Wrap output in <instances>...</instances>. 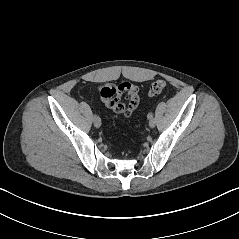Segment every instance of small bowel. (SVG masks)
Masks as SVG:
<instances>
[{
	"label": "small bowel",
	"mask_w": 239,
	"mask_h": 239,
	"mask_svg": "<svg viewBox=\"0 0 239 239\" xmlns=\"http://www.w3.org/2000/svg\"><path fill=\"white\" fill-rule=\"evenodd\" d=\"M99 95L107 108L125 117H131L140 102L138 87L129 82L117 87L104 86L100 89Z\"/></svg>",
	"instance_id": "small-bowel-1"
}]
</instances>
